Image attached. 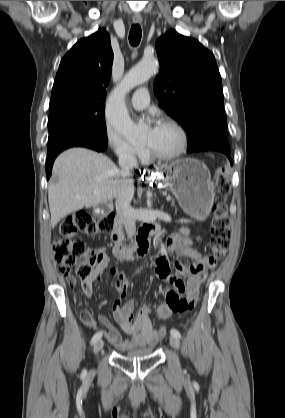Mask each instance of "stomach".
Returning <instances> with one entry per match:
<instances>
[{
	"mask_svg": "<svg viewBox=\"0 0 285 418\" xmlns=\"http://www.w3.org/2000/svg\"><path fill=\"white\" fill-rule=\"evenodd\" d=\"M157 182L176 197L183 211L205 220L214 202L210 171L200 160L178 159L156 174Z\"/></svg>",
	"mask_w": 285,
	"mask_h": 418,
	"instance_id": "1",
	"label": "stomach"
}]
</instances>
